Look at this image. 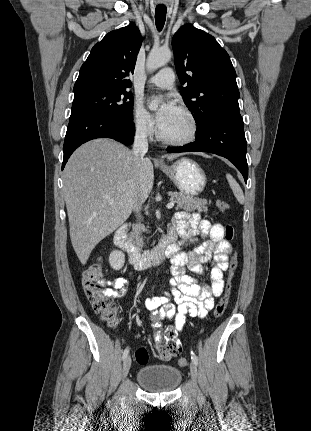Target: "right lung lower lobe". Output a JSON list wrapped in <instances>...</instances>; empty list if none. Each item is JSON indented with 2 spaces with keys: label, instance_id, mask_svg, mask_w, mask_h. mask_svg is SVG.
Here are the masks:
<instances>
[{
  "label": "right lung lower lobe",
  "instance_id": "1",
  "mask_svg": "<svg viewBox=\"0 0 311 431\" xmlns=\"http://www.w3.org/2000/svg\"><path fill=\"white\" fill-rule=\"evenodd\" d=\"M133 118H120L102 113H86L71 118L64 140L62 170L70 155L83 143L95 138H112L125 145L133 142Z\"/></svg>",
  "mask_w": 311,
  "mask_h": 431
}]
</instances>
